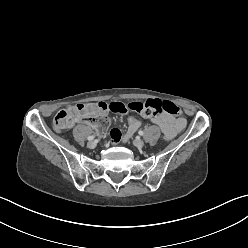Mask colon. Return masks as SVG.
Returning <instances> with one entry per match:
<instances>
[{"label": "colon", "instance_id": "5ec220e1", "mask_svg": "<svg viewBox=\"0 0 248 248\" xmlns=\"http://www.w3.org/2000/svg\"><path fill=\"white\" fill-rule=\"evenodd\" d=\"M108 110L121 115H128L129 111H133L146 118L161 114L178 117L182 114L181 109L176 104L163 100L132 101L127 104L112 103L109 106L104 102H98L60 110L54 117V127L56 130L62 131L70 127L74 122L84 120L92 122L96 134L104 137L108 134L110 128L109 119L106 116ZM126 123L134 130L140 129V124L134 119L133 115H129L126 118Z\"/></svg>", "mask_w": 248, "mask_h": 248}]
</instances>
